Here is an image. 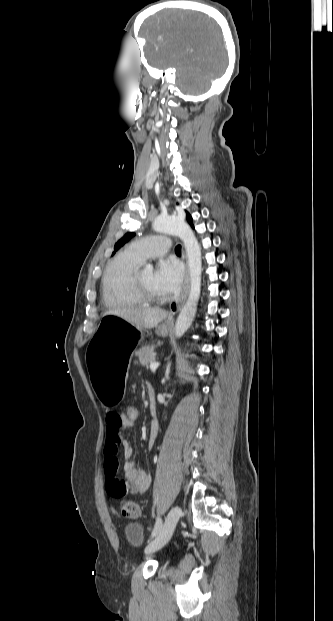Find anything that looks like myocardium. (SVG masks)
Listing matches in <instances>:
<instances>
[{"mask_svg":"<svg viewBox=\"0 0 333 621\" xmlns=\"http://www.w3.org/2000/svg\"><path fill=\"white\" fill-rule=\"evenodd\" d=\"M140 270H136L133 274L131 287L134 294L143 302L146 303H161L166 298L164 296H156L150 293L141 283L139 278Z\"/></svg>","mask_w":333,"mask_h":621,"instance_id":"1","label":"myocardium"}]
</instances>
